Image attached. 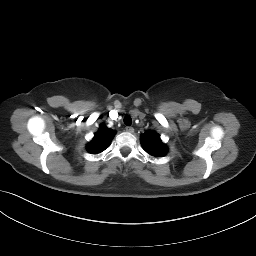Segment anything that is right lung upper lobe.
Wrapping results in <instances>:
<instances>
[{
	"label": "right lung upper lobe",
	"mask_w": 256,
	"mask_h": 256,
	"mask_svg": "<svg viewBox=\"0 0 256 256\" xmlns=\"http://www.w3.org/2000/svg\"><path fill=\"white\" fill-rule=\"evenodd\" d=\"M115 135V131L101 125L98 132L95 133L94 138L87 145L88 152L98 154L104 151L111 143Z\"/></svg>",
	"instance_id": "cb5924a9"
}]
</instances>
